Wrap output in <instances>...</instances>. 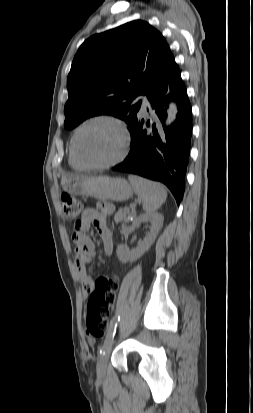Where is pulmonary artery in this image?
Here are the masks:
<instances>
[{
    "mask_svg": "<svg viewBox=\"0 0 253 413\" xmlns=\"http://www.w3.org/2000/svg\"><path fill=\"white\" fill-rule=\"evenodd\" d=\"M138 100H141V102H142V110L143 111H145L147 108H149L150 107V102H149V100H148V98L146 97V96H144V95H141V96H139L138 97Z\"/></svg>",
    "mask_w": 253,
    "mask_h": 413,
    "instance_id": "obj_1",
    "label": "pulmonary artery"
}]
</instances>
